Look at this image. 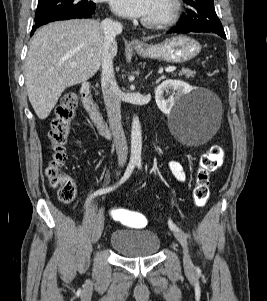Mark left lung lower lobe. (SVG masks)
Returning <instances> with one entry per match:
<instances>
[{"instance_id": "obj_1", "label": "left lung lower lobe", "mask_w": 267, "mask_h": 301, "mask_svg": "<svg viewBox=\"0 0 267 301\" xmlns=\"http://www.w3.org/2000/svg\"><path fill=\"white\" fill-rule=\"evenodd\" d=\"M170 33L171 32H176V33H189V32H204V33H207V32H211L209 31L208 29H205V28H201V27H193V26H176V27H173L170 29L169 31ZM168 32V33H169ZM213 33V32H212ZM219 36L223 37V38H226V35L225 33H220L218 34Z\"/></svg>"}]
</instances>
